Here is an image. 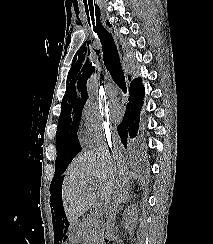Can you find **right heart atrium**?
Here are the masks:
<instances>
[{"mask_svg": "<svg viewBox=\"0 0 213 244\" xmlns=\"http://www.w3.org/2000/svg\"><path fill=\"white\" fill-rule=\"evenodd\" d=\"M81 140L92 145L104 141L112 132V127L103 107L89 100L81 112Z\"/></svg>", "mask_w": 213, "mask_h": 244, "instance_id": "right-heart-atrium-1", "label": "right heart atrium"}]
</instances>
